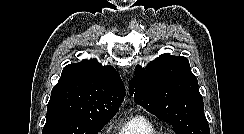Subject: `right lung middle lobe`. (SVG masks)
I'll return each instance as SVG.
<instances>
[{"mask_svg":"<svg viewBox=\"0 0 244 134\" xmlns=\"http://www.w3.org/2000/svg\"><path fill=\"white\" fill-rule=\"evenodd\" d=\"M112 118L113 116H77L59 108L47 109L42 134H98Z\"/></svg>","mask_w":244,"mask_h":134,"instance_id":"dd1d6c3e","label":"right lung middle lobe"}]
</instances>
